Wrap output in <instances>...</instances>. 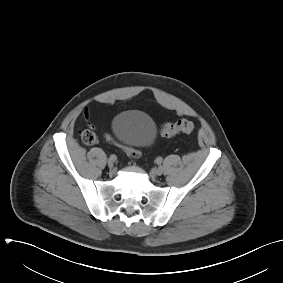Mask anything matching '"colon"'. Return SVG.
<instances>
[{
    "mask_svg": "<svg viewBox=\"0 0 283 283\" xmlns=\"http://www.w3.org/2000/svg\"><path fill=\"white\" fill-rule=\"evenodd\" d=\"M195 128L196 126L192 121L187 119H182L175 123L162 124L160 126V133L164 137H173L178 134H191L195 131ZM80 137L86 145H93L97 139L96 134L91 129H85L81 131ZM105 138L109 143L121 146L112 135L107 134ZM121 147L125 150V152L131 159H137L140 157V152L137 149L127 146H121Z\"/></svg>",
    "mask_w": 283,
    "mask_h": 283,
    "instance_id": "5ec220e1",
    "label": "colon"
}]
</instances>
